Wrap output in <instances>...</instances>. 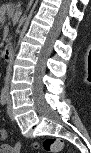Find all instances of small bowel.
Wrapping results in <instances>:
<instances>
[{
	"instance_id": "obj_1",
	"label": "small bowel",
	"mask_w": 91,
	"mask_h": 153,
	"mask_svg": "<svg viewBox=\"0 0 91 153\" xmlns=\"http://www.w3.org/2000/svg\"><path fill=\"white\" fill-rule=\"evenodd\" d=\"M5 138H6V132L5 131H1L0 132V140H3ZM0 150L3 153H15V152H17L15 146H11V145H8V144H2L0 146Z\"/></svg>"
}]
</instances>
